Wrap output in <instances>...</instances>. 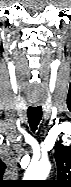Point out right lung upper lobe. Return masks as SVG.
I'll use <instances>...</instances> for the list:
<instances>
[{
    "mask_svg": "<svg viewBox=\"0 0 71 187\" xmlns=\"http://www.w3.org/2000/svg\"><path fill=\"white\" fill-rule=\"evenodd\" d=\"M4 170H5V165L2 166L1 172L4 173Z\"/></svg>",
    "mask_w": 71,
    "mask_h": 187,
    "instance_id": "cb5924a9",
    "label": "right lung upper lobe"
}]
</instances>
